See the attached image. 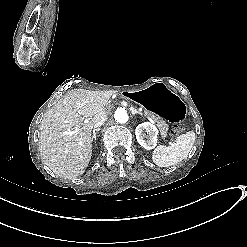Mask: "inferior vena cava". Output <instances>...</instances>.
Returning <instances> with one entry per match:
<instances>
[{
	"mask_svg": "<svg viewBox=\"0 0 247 247\" xmlns=\"http://www.w3.org/2000/svg\"><path fill=\"white\" fill-rule=\"evenodd\" d=\"M107 120V117H101L95 124H94V129H97V128H99V127H101L103 124H104V122Z\"/></svg>",
	"mask_w": 247,
	"mask_h": 247,
	"instance_id": "1",
	"label": "inferior vena cava"
}]
</instances>
